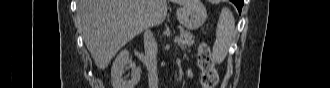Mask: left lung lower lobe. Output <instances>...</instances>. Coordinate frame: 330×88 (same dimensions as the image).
Returning a JSON list of instances; mask_svg holds the SVG:
<instances>
[{"label": "left lung lower lobe", "mask_w": 330, "mask_h": 88, "mask_svg": "<svg viewBox=\"0 0 330 88\" xmlns=\"http://www.w3.org/2000/svg\"><path fill=\"white\" fill-rule=\"evenodd\" d=\"M236 7L238 8L239 13H241L242 6L244 4V0H231Z\"/></svg>", "instance_id": "obj_1"}]
</instances>
